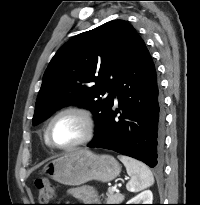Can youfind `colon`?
Segmentation results:
<instances>
[{"instance_id":"obj_1","label":"colon","mask_w":200,"mask_h":205,"mask_svg":"<svg viewBox=\"0 0 200 205\" xmlns=\"http://www.w3.org/2000/svg\"><path fill=\"white\" fill-rule=\"evenodd\" d=\"M35 187L37 190V195L41 203H49L56 196L55 187L46 178H39L35 181ZM40 205H50V204H40Z\"/></svg>"}]
</instances>
